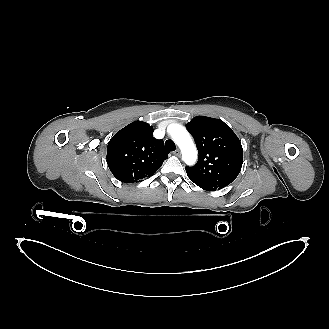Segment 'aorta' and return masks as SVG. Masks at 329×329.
<instances>
[{
	"instance_id": "obj_1",
	"label": "aorta",
	"mask_w": 329,
	"mask_h": 329,
	"mask_svg": "<svg viewBox=\"0 0 329 329\" xmlns=\"http://www.w3.org/2000/svg\"><path fill=\"white\" fill-rule=\"evenodd\" d=\"M172 140L178 145L182 153V159L187 165H193L197 161L196 146L189 132L179 124L169 127Z\"/></svg>"
}]
</instances>
